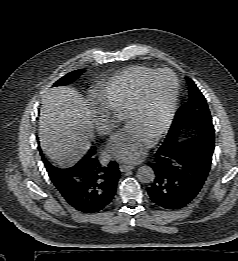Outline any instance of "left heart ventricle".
Returning <instances> with one entry per match:
<instances>
[{
    "instance_id": "obj_1",
    "label": "left heart ventricle",
    "mask_w": 238,
    "mask_h": 261,
    "mask_svg": "<svg viewBox=\"0 0 238 261\" xmlns=\"http://www.w3.org/2000/svg\"><path fill=\"white\" fill-rule=\"evenodd\" d=\"M173 93V80L169 74L154 77L146 86L141 108L126 120L152 136L163 122Z\"/></svg>"
}]
</instances>
